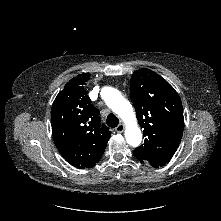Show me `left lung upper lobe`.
I'll return each instance as SVG.
<instances>
[{
    "label": "left lung upper lobe",
    "mask_w": 221,
    "mask_h": 221,
    "mask_svg": "<svg viewBox=\"0 0 221 221\" xmlns=\"http://www.w3.org/2000/svg\"><path fill=\"white\" fill-rule=\"evenodd\" d=\"M130 96L145 136L134 155L153 167L163 166L173 157L183 135L180 97L164 78L146 68L132 74Z\"/></svg>",
    "instance_id": "obj_1"
}]
</instances>
